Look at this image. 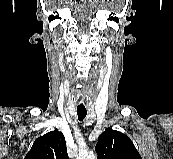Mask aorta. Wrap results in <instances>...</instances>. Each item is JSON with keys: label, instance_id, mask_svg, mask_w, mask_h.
<instances>
[{"label": "aorta", "instance_id": "1", "mask_svg": "<svg viewBox=\"0 0 173 159\" xmlns=\"http://www.w3.org/2000/svg\"><path fill=\"white\" fill-rule=\"evenodd\" d=\"M77 159H97V157L88 151H80Z\"/></svg>", "mask_w": 173, "mask_h": 159}]
</instances>
